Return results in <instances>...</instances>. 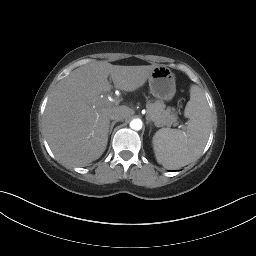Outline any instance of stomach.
<instances>
[{
    "instance_id": "1",
    "label": "stomach",
    "mask_w": 256,
    "mask_h": 256,
    "mask_svg": "<svg viewBox=\"0 0 256 256\" xmlns=\"http://www.w3.org/2000/svg\"><path fill=\"white\" fill-rule=\"evenodd\" d=\"M151 94L162 101L171 100L176 92L175 77L172 71L164 66H157L148 78Z\"/></svg>"
}]
</instances>
